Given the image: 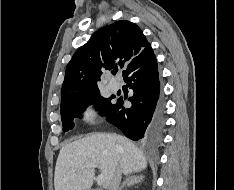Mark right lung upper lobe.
Wrapping results in <instances>:
<instances>
[{"instance_id": "1", "label": "right lung upper lobe", "mask_w": 234, "mask_h": 190, "mask_svg": "<svg viewBox=\"0 0 234 190\" xmlns=\"http://www.w3.org/2000/svg\"><path fill=\"white\" fill-rule=\"evenodd\" d=\"M148 46L150 44L142 30L132 22L121 20L102 27L76 51L68 63L61 104L99 90L97 82L101 68L111 70L117 65L122 68Z\"/></svg>"}]
</instances>
